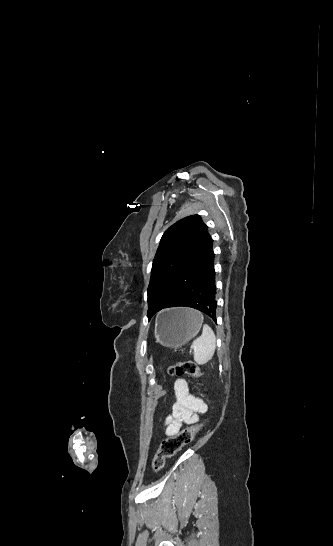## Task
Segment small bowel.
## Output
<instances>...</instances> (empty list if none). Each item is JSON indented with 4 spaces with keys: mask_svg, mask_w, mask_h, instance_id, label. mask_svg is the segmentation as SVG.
Returning <instances> with one entry per match:
<instances>
[{
    "mask_svg": "<svg viewBox=\"0 0 333 546\" xmlns=\"http://www.w3.org/2000/svg\"><path fill=\"white\" fill-rule=\"evenodd\" d=\"M174 394L176 401L165 420V435L168 437L177 434L184 424L198 422L199 415L207 411L206 404L190 393L186 380H175Z\"/></svg>",
    "mask_w": 333,
    "mask_h": 546,
    "instance_id": "small-bowel-1",
    "label": "small bowel"
}]
</instances>
